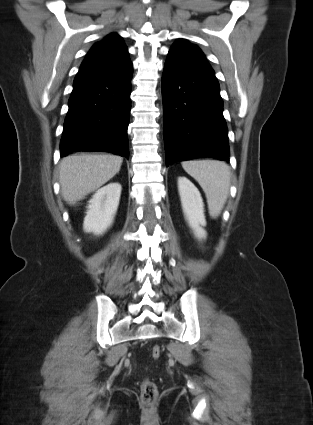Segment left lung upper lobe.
Returning <instances> with one entry per match:
<instances>
[{
    "label": "left lung upper lobe",
    "instance_id": "left-lung-upper-lobe-1",
    "mask_svg": "<svg viewBox=\"0 0 313 425\" xmlns=\"http://www.w3.org/2000/svg\"><path fill=\"white\" fill-rule=\"evenodd\" d=\"M168 57L177 59L190 67L214 72L198 46L191 44L185 39H181L172 45Z\"/></svg>",
    "mask_w": 313,
    "mask_h": 425
}]
</instances>
